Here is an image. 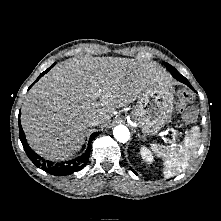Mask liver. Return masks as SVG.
Returning a JSON list of instances; mask_svg holds the SVG:
<instances>
[{
	"instance_id": "liver-1",
	"label": "liver",
	"mask_w": 221,
	"mask_h": 221,
	"mask_svg": "<svg viewBox=\"0 0 221 221\" xmlns=\"http://www.w3.org/2000/svg\"><path fill=\"white\" fill-rule=\"evenodd\" d=\"M171 85L155 62L83 56L53 67L29 91L21 124L31 148L52 161L77 153L88 121L107 127L116 108L128 105L155 85Z\"/></svg>"
}]
</instances>
